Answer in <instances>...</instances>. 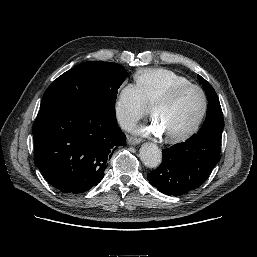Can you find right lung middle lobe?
<instances>
[{
  "label": "right lung middle lobe",
  "instance_id": "dd1d6c3e",
  "mask_svg": "<svg viewBox=\"0 0 257 257\" xmlns=\"http://www.w3.org/2000/svg\"><path fill=\"white\" fill-rule=\"evenodd\" d=\"M127 71L112 62L88 61L59 76L44 93L40 109L65 102L99 105L115 113L117 91Z\"/></svg>",
  "mask_w": 257,
  "mask_h": 257
}]
</instances>
